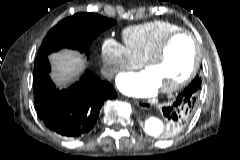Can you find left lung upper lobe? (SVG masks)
Masks as SVG:
<instances>
[{
	"label": "left lung upper lobe",
	"mask_w": 240,
	"mask_h": 160,
	"mask_svg": "<svg viewBox=\"0 0 240 160\" xmlns=\"http://www.w3.org/2000/svg\"><path fill=\"white\" fill-rule=\"evenodd\" d=\"M191 84H196V90L199 91L200 90V85H201V79L196 76L195 79L192 81ZM185 116H187V114H184ZM192 117H190L189 120H187V122H189L191 120ZM188 123H183L179 126H173L170 121H168V129L170 130V132L167 134L168 136L170 134H174V132H179L181 131Z\"/></svg>",
	"instance_id": "5c2ea615"
}]
</instances>
